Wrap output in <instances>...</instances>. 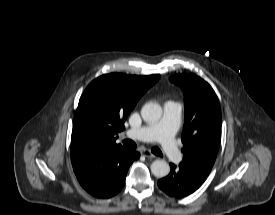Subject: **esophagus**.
Returning <instances> with one entry per match:
<instances>
[{
    "label": "esophagus",
    "instance_id": "34e87169",
    "mask_svg": "<svg viewBox=\"0 0 275 215\" xmlns=\"http://www.w3.org/2000/svg\"><path fill=\"white\" fill-rule=\"evenodd\" d=\"M141 154L147 158H155L156 156L151 153L149 150H143L141 151Z\"/></svg>",
    "mask_w": 275,
    "mask_h": 215
}]
</instances>
